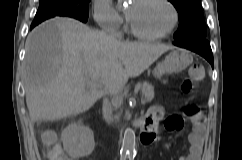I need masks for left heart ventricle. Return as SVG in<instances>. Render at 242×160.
I'll list each match as a JSON object with an SVG mask.
<instances>
[{
  "mask_svg": "<svg viewBox=\"0 0 242 160\" xmlns=\"http://www.w3.org/2000/svg\"><path fill=\"white\" fill-rule=\"evenodd\" d=\"M126 11L134 27L142 34L163 33L173 21L171 9L162 0H134Z\"/></svg>",
  "mask_w": 242,
  "mask_h": 160,
  "instance_id": "left-heart-ventricle-1",
  "label": "left heart ventricle"
}]
</instances>
